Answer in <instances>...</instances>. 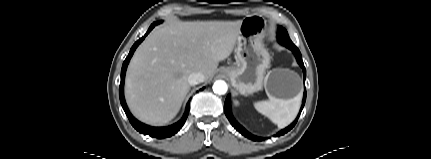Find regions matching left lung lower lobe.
<instances>
[{"label":"left lung lower lobe","mask_w":431,"mask_h":159,"mask_svg":"<svg viewBox=\"0 0 431 159\" xmlns=\"http://www.w3.org/2000/svg\"><path fill=\"white\" fill-rule=\"evenodd\" d=\"M287 48H289L290 50H292L293 52H294V54H295V56H296V59H297V62L299 63V65L302 67V69H303V72H304V80H305V78H306V70H305V67H304V63H303V61H302V56H301V53H300V51L298 50V48L297 47H287ZM305 100H306V90L304 91V97H303V101H302V106H301V110H300V113H301V111H302V109H303V107H304V104H305ZM224 112H225V115L227 116V118H228V120L230 121V123H231V125L238 131V132H240L243 136H245V137H247V138H249V139H251V140H253V141H262L263 140V138L262 137H257V136H254V135H252V134H250L248 131H246L235 119H234V117H233V115H232V113H231V105H230V99H229V95L227 96V98H226V100H225V105H224ZM300 113L298 114V116H297V118L295 119V121L291 124V125H289L288 127H286L285 129H283V130H281L280 132H278V133H276L275 135H274V137H277V136H281V135H284L285 133H287L288 131H290L293 127H294V125L296 124V122H297V120H298V118H299V116H300Z\"/></svg>","instance_id":"0a47b994"}]
</instances>
